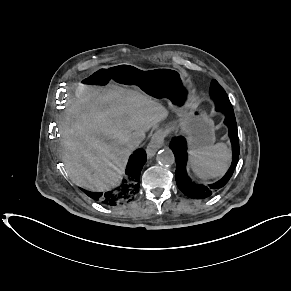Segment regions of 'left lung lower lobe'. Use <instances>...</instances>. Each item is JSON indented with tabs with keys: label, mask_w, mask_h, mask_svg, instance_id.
<instances>
[{
	"label": "left lung lower lobe",
	"mask_w": 291,
	"mask_h": 291,
	"mask_svg": "<svg viewBox=\"0 0 291 291\" xmlns=\"http://www.w3.org/2000/svg\"><path fill=\"white\" fill-rule=\"evenodd\" d=\"M214 102L216 104V110L226 114L224 123L229 129L228 135L232 144V164L224 177L219 181L209 185L197 184L190 179L186 172V163L188 159L186 139L182 136L174 137L170 144V148L173 150L176 160V184L179 190L189 198L206 199L220 191L232 177L238 162L239 138L233 108L232 106L228 107L221 99H217Z\"/></svg>",
	"instance_id": "1"
}]
</instances>
